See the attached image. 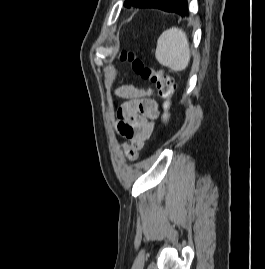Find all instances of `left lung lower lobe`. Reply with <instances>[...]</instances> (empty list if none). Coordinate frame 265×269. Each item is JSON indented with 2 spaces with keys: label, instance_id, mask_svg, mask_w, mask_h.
<instances>
[{
  "label": "left lung lower lobe",
  "instance_id": "0a47b994",
  "mask_svg": "<svg viewBox=\"0 0 265 269\" xmlns=\"http://www.w3.org/2000/svg\"><path fill=\"white\" fill-rule=\"evenodd\" d=\"M187 5V0H145L138 8H157L184 17L189 15Z\"/></svg>",
  "mask_w": 265,
  "mask_h": 269
}]
</instances>
